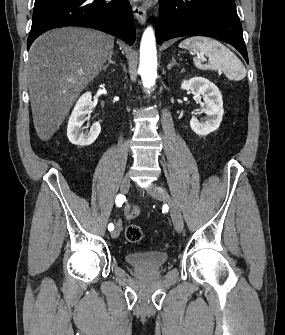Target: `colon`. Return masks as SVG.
I'll return each instance as SVG.
<instances>
[{
  "mask_svg": "<svg viewBox=\"0 0 285 335\" xmlns=\"http://www.w3.org/2000/svg\"><path fill=\"white\" fill-rule=\"evenodd\" d=\"M143 236L142 229L137 224H130L125 229V238L129 243H138Z\"/></svg>",
  "mask_w": 285,
  "mask_h": 335,
  "instance_id": "obj_1",
  "label": "colon"
}]
</instances>
